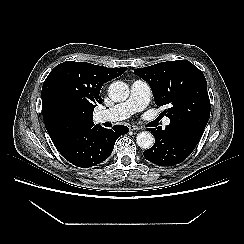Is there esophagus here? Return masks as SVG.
Returning a JSON list of instances; mask_svg holds the SVG:
<instances>
[{
    "label": "esophagus",
    "instance_id": "esophagus-1",
    "mask_svg": "<svg viewBox=\"0 0 244 244\" xmlns=\"http://www.w3.org/2000/svg\"><path fill=\"white\" fill-rule=\"evenodd\" d=\"M140 128L138 127V126H136V125H130L129 126V130H131V131H135V130H139Z\"/></svg>",
    "mask_w": 244,
    "mask_h": 244
}]
</instances>
